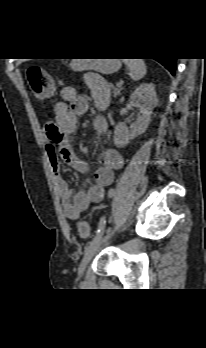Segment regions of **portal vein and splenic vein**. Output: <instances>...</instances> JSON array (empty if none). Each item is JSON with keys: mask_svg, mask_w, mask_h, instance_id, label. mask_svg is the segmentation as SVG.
I'll use <instances>...</instances> for the list:
<instances>
[{"mask_svg": "<svg viewBox=\"0 0 206 348\" xmlns=\"http://www.w3.org/2000/svg\"><path fill=\"white\" fill-rule=\"evenodd\" d=\"M122 84H123V82H122V81H119L116 85H117V87H121Z\"/></svg>", "mask_w": 206, "mask_h": 348, "instance_id": "obj_1", "label": "portal vein and splenic vein"}]
</instances>
